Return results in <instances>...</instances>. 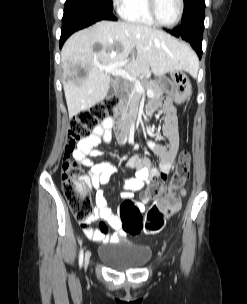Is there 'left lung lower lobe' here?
<instances>
[{
  "instance_id": "0a47b994",
  "label": "left lung lower lobe",
  "mask_w": 247,
  "mask_h": 304,
  "mask_svg": "<svg viewBox=\"0 0 247 304\" xmlns=\"http://www.w3.org/2000/svg\"><path fill=\"white\" fill-rule=\"evenodd\" d=\"M205 13L199 12L195 14L187 22L182 23L179 27L173 30H166L170 34L180 37L189 42L194 50L197 52L199 58L202 56V37L204 31Z\"/></svg>"
}]
</instances>
